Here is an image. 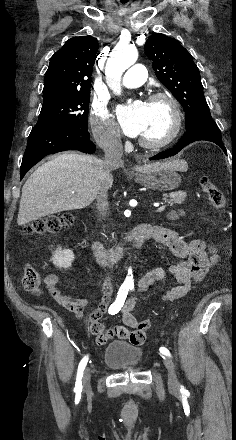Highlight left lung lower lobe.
Listing matches in <instances>:
<instances>
[{"instance_id":"0a47b994","label":"left lung lower lobe","mask_w":236,"mask_h":440,"mask_svg":"<svg viewBox=\"0 0 236 440\" xmlns=\"http://www.w3.org/2000/svg\"><path fill=\"white\" fill-rule=\"evenodd\" d=\"M199 140L211 141L217 144L227 154L218 126L211 116H207L196 122L193 126L187 128L185 134L173 148L151 157L150 160H159L173 156L185 146Z\"/></svg>"}]
</instances>
